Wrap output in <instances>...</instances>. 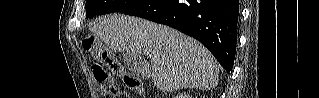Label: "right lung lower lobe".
I'll return each instance as SVG.
<instances>
[{
  "label": "right lung lower lobe",
  "mask_w": 319,
  "mask_h": 98,
  "mask_svg": "<svg viewBox=\"0 0 319 98\" xmlns=\"http://www.w3.org/2000/svg\"><path fill=\"white\" fill-rule=\"evenodd\" d=\"M127 15L168 25L206 46L231 71L237 43L238 0H148Z\"/></svg>",
  "instance_id": "98d812e1"
}]
</instances>
